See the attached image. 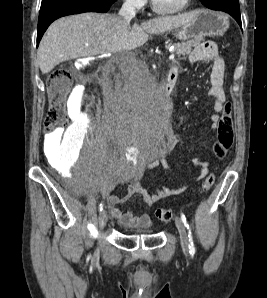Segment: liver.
<instances>
[{
  "label": "liver",
  "mask_w": 267,
  "mask_h": 298,
  "mask_svg": "<svg viewBox=\"0 0 267 298\" xmlns=\"http://www.w3.org/2000/svg\"><path fill=\"white\" fill-rule=\"evenodd\" d=\"M193 12L158 17L126 25L119 16L82 13L54 21L43 36L38 59L43 74L64 61L118 53L145 44L149 34H161L191 21Z\"/></svg>",
  "instance_id": "liver-1"
}]
</instances>
